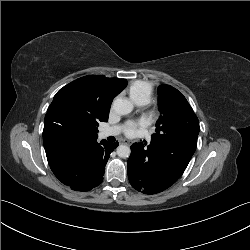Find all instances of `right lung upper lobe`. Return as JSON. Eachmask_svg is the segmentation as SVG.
Returning <instances> with one entry per match:
<instances>
[{
  "mask_svg": "<svg viewBox=\"0 0 250 250\" xmlns=\"http://www.w3.org/2000/svg\"><path fill=\"white\" fill-rule=\"evenodd\" d=\"M126 83V79L89 75L68 85H79L83 90L86 107L99 118L108 120L112 100L124 89ZM55 96L53 99H55ZM53 106L54 102L49 106L45 116L43 144L51 170L53 173H59L73 151L96 140L98 136L97 134L72 136L63 133L55 123Z\"/></svg>",
  "mask_w": 250,
  "mask_h": 250,
  "instance_id": "cb5924a9",
  "label": "right lung upper lobe"
}]
</instances>
